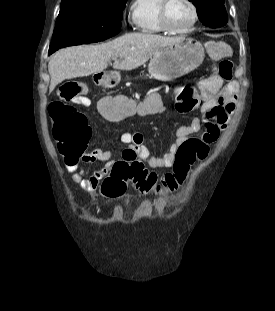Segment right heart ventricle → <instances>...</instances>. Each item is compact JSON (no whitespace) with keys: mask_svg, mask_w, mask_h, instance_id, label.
<instances>
[{"mask_svg":"<svg viewBox=\"0 0 275 311\" xmlns=\"http://www.w3.org/2000/svg\"><path fill=\"white\" fill-rule=\"evenodd\" d=\"M161 0H133L131 15L136 29L144 34H163L166 31L159 21Z\"/></svg>","mask_w":275,"mask_h":311,"instance_id":"1","label":"right heart ventricle"}]
</instances>
